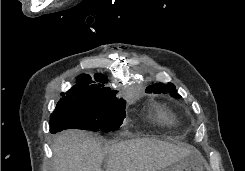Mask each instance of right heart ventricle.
<instances>
[{"label":"right heart ventricle","instance_id":"right-heart-ventricle-1","mask_svg":"<svg viewBox=\"0 0 245 171\" xmlns=\"http://www.w3.org/2000/svg\"><path fill=\"white\" fill-rule=\"evenodd\" d=\"M151 118L163 125H172L175 122V116L165 106L154 104L152 106Z\"/></svg>","mask_w":245,"mask_h":171}]
</instances>
